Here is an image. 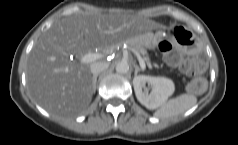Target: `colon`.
<instances>
[{"label":"colon","instance_id":"obj_1","mask_svg":"<svg viewBox=\"0 0 238 145\" xmlns=\"http://www.w3.org/2000/svg\"><path fill=\"white\" fill-rule=\"evenodd\" d=\"M161 52L164 54L165 61L171 67L179 69L184 74L193 77L189 89L193 93H200L206 87V81L202 77L206 69V60L203 55L185 57L175 51L167 41L159 44Z\"/></svg>","mask_w":238,"mask_h":145}]
</instances>
